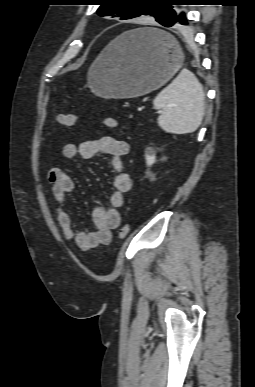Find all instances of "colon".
Masks as SVG:
<instances>
[{
  "label": "colon",
  "instance_id": "1",
  "mask_svg": "<svg viewBox=\"0 0 255 387\" xmlns=\"http://www.w3.org/2000/svg\"><path fill=\"white\" fill-rule=\"evenodd\" d=\"M58 121L60 124L66 126V127H72L77 122V117L72 114H60L58 117ZM102 124L110 129H116L119 125L118 121L115 118L112 117H106L102 119ZM130 225L124 224L120 227L118 235L120 239L126 238L130 233Z\"/></svg>",
  "mask_w": 255,
  "mask_h": 387
}]
</instances>
